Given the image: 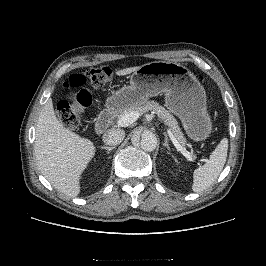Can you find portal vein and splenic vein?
<instances>
[{
  "label": "portal vein and splenic vein",
  "mask_w": 266,
  "mask_h": 266,
  "mask_svg": "<svg viewBox=\"0 0 266 266\" xmlns=\"http://www.w3.org/2000/svg\"><path fill=\"white\" fill-rule=\"evenodd\" d=\"M139 113L138 112H131L128 114H125L123 116H121L118 121L117 124L120 127H128L130 124L134 123L138 118H139ZM169 138L171 139V141L173 142L174 146L177 148L178 151H180L186 158L188 161L190 162H195L198 165H201V161H196L192 155L190 154V152H188L179 142L178 140L175 138V136L173 135V133L168 130L167 131ZM203 161V160H202Z\"/></svg>",
  "instance_id": "portal-vein-and-splenic-vein-1"
}]
</instances>
